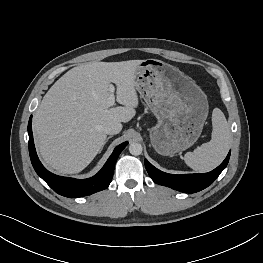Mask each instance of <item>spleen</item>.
<instances>
[{"label":"spleen","instance_id":"1","mask_svg":"<svg viewBox=\"0 0 263 263\" xmlns=\"http://www.w3.org/2000/svg\"><path fill=\"white\" fill-rule=\"evenodd\" d=\"M212 138L193 152L184 156L185 163L195 171L208 172L216 168L226 157L230 146V129L224 113L215 108L212 112Z\"/></svg>","mask_w":263,"mask_h":263}]
</instances>
